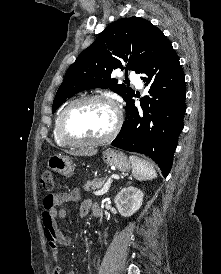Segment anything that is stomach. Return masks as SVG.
Instances as JSON below:
<instances>
[{
    "label": "stomach",
    "mask_w": 221,
    "mask_h": 274,
    "mask_svg": "<svg viewBox=\"0 0 221 274\" xmlns=\"http://www.w3.org/2000/svg\"><path fill=\"white\" fill-rule=\"evenodd\" d=\"M103 161L108 166H113L123 172L129 171L132 167L130 160H128L124 153L112 149H107L103 152ZM48 167L52 171L66 177H70L74 173L72 158L61 154L50 156L48 159Z\"/></svg>",
    "instance_id": "stomach-1"
}]
</instances>
